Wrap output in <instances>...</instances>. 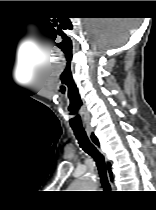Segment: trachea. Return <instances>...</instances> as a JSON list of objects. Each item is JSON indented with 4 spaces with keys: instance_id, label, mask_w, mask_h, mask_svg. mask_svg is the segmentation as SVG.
<instances>
[{
    "instance_id": "trachea-1",
    "label": "trachea",
    "mask_w": 156,
    "mask_h": 210,
    "mask_svg": "<svg viewBox=\"0 0 156 210\" xmlns=\"http://www.w3.org/2000/svg\"><path fill=\"white\" fill-rule=\"evenodd\" d=\"M74 134L78 140L80 147L90 156H92L96 162L98 167L99 176L101 179V183L104 187H109V181L107 178L106 172V164L104 156L101 152L93 145V143L89 140L85 131H74Z\"/></svg>"
}]
</instances>
